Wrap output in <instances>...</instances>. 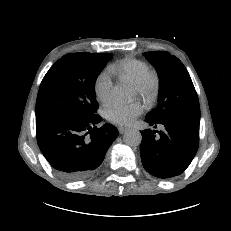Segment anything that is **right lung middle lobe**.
I'll return each instance as SVG.
<instances>
[{
    "label": "right lung middle lobe",
    "mask_w": 231,
    "mask_h": 231,
    "mask_svg": "<svg viewBox=\"0 0 231 231\" xmlns=\"http://www.w3.org/2000/svg\"><path fill=\"white\" fill-rule=\"evenodd\" d=\"M112 54L71 53L60 58L44 76L36 100V115L89 119L96 115L95 82Z\"/></svg>",
    "instance_id": "right-lung-middle-lobe-1"
}]
</instances>
